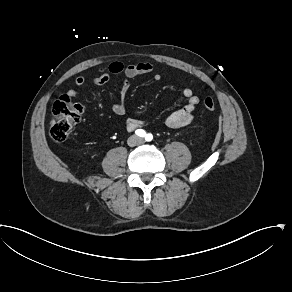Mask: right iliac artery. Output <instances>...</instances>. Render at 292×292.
I'll return each instance as SVG.
<instances>
[{
  "mask_svg": "<svg viewBox=\"0 0 292 292\" xmlns=\"http://www.w3.org/2000/svg\"><path fill=\"white\" fill-rule=\"evenodd\" d=\"M135 134L138 135L139 137H145L146 136V132L143 129L136 130Z\"/></svg>",
  "mask_w": 292,
  "mask_h": 292,
  "instance_id": "obj_1",
  "label": "right iliac artery"
}]
</instances>
